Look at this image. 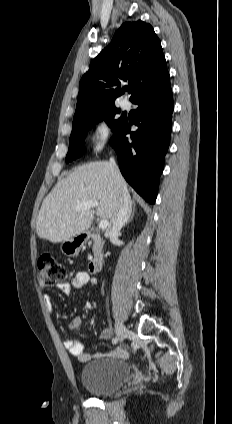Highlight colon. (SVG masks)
<instances>
[{"mask_svg":"<svg viewBox=\"0 0 232 424\" xmlns=\"http://www.w3.org/2000/svg\"><path fill=\"white\" fill-rule=\"evenodd\" d=\"M68 277L67 268L52 254H42L38 259L37 278L42 286H53Z\"/></svg>","mask_w":232,"mask_h":424,"instance_id":"obj_1","label":"colon"}]
</instances>
